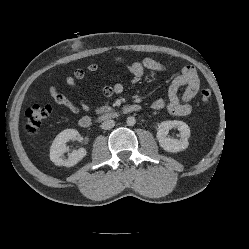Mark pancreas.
Returning <instances> with one entry per match:
<instances>
[{"mask_svg":"<svg viewBox=\"0 0 249 249\" xmlns=\"http://www.w3.org/2000/svg\"><path fill=\"white\" fill-rule=\"evenodd\" d=\"M113 109L110 107V106H108V105H104V106H102V107H100L99 109H98V112L99 113H108V112H110V111H112Z\"/></svg>","mask_w":249,"mask_h":249,"instance_id":"pancreas-1","label":"pancreas"}]
</instances>
